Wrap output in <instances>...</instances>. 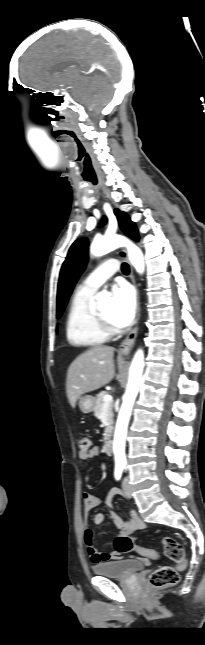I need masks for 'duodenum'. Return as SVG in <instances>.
<instances>
[{"mask_svg":"<svg viewBox=\"0 0 205 645\" xmlns=\"http://www.w3.org/2000/svg\"><path fill=\"white\" fill-rule=\"evenodd\" d=\"M104 451L106 455L110 456L113 453V444L110 439H107L104 443Z\"/></svg>","mask_w":205,"mask_h":645,"instance_id":"obj_1","label":"duodenum"}]
</instances>
